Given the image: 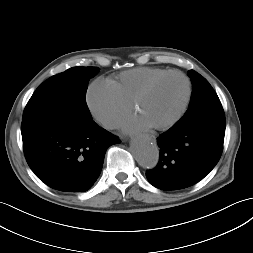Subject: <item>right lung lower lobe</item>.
<instances>
[{"label":"right lung lower lobe","mask_w":253,"mask_h":253,"mask_svg":"<svg viewBox=\"0 0 253 253\" xmlns=\"http://www.w3.org/2000/svg\"><path fill=\"white\" fill-rule=\"evenodd\" d=\"M26 161L49 187L84 192L102 170L108 147L121 141L92 118L62 116L22 133Z\"/></svg>","instance_id":"1"}]
</instances>
